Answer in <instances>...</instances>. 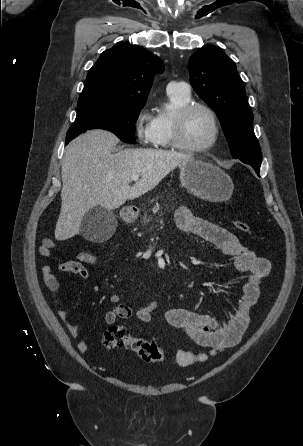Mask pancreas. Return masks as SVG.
Returning <instances> with one entry per match:
<instances>
[{"mask_svg": "<svg viewBox=\"0 0 303 446\" xmlns=\"http://www.w3.org/2000/svg\"><path fill=\"white\" fill-rule=\"evenodd\" d=\"M159 211H160V205L157 203V204L152 208V212H153V214H156V213H159ZM151 219H152L151 217H148V218H147V216H144V218H143L144 224L150 222Z\"/></svg>", "mask_w": 303, "mask_h": 446, "instance_id": "cf45deb5", "label": "pancreas"}]
</instances>
